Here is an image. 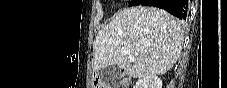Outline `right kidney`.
I'll use <instances>...</instances> for the list:
<instances>
[{
	"label": "right kidney",
	"instance_id": "ca27d5eb",
	"mask_svg": "<svg viewBox=\"0 0 227 88\" xmlns=\"http://www.w3.org/2000/svg\"><path fill=\"white\" fill-rule=\"evenodd\" d=\"M135 88H162V81L156 75H150L139 79Z\"/></svg>",
	"mask_w": 227,
	"mask_h": 88
}]
</instances>
